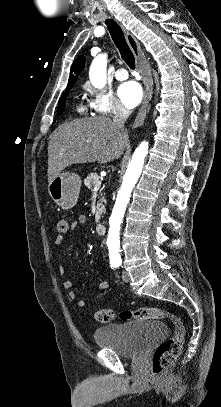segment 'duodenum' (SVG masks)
I'll return each instance as SVG.
<instances>
[{
    "mask_svg": "<svg viewBox=\"0 0 221 407\" xmlns=\"http://www.w3.org/2000/svg\"><path fill=\"white\" fill-rule=\"evenodd\" d=\"M106 226L104 223H97L96 224V232L99 235H103L105 233Z\"/></svg>",
    "mask_w": 221,
    "mask_h": 407,
    "instance_id": "1",
    "label": "duodenum"
}]
</instances>
